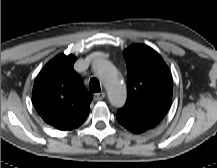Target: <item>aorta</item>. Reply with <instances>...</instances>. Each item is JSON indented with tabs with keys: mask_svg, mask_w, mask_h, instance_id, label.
<instances>
[{
	"mask_svg": "<svg viewBox=\"0 0 217 168\" xmlns=\"http://www.w3.org/2000/svg\"><path fill=\"white\" fill-rule=\"evenodd\" d=\"M93 68L107 90L111 105L117 108L122 107L125 104L127 92L115 66L107 59L98 57L93 61Z\"/></svg>",
	"mask_w": 217,
	"mask_h": 168,
	"instance_id": "aorta-1",
	"label": "aorta"
}]
</instances>
